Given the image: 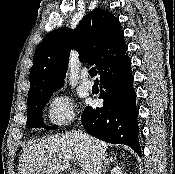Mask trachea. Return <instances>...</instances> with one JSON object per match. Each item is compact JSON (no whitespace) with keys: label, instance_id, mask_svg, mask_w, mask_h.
<instances>
[{"label":"trachea","instance_id":"1","mask_svg":"<svg viewBox=\"0 0 175 174\" xmlns=\"http://www.w3.org/2000/svg\"><path fill=\"white\" fill-rule=\"evenodd\" d=\"M89 74L91 77H95L97 75L96 68L95 67L91 68Z\"/></svg>","mask_w":175,"mask_h":174}]
</instances>
